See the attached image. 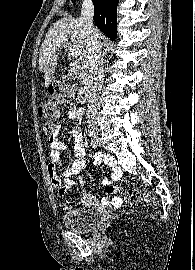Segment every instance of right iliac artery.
I'll return each instance as SVG.
<instances>
[{
	"label": "right iliac artery",
	"instance_id": "82829eb1",
	"mask_svg": "<svg viewBox=\"0 0 195 270\" xmlns=\"http://www.w3.org/2000/svg\"><path fill=\"white\" fill-rule=\"evenodd\" d=\"M91 146H92V148H96V143L92 141Z\"/></svg>",
	"mask_w": 195,
	"mask_h": 270
}]
</instances>
